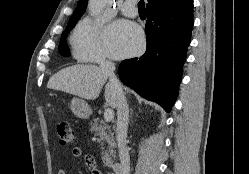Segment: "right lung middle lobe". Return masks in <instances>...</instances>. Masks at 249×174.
<instances>
[{
    "instance_id": "dd1d6c3e",
    "label": "right lung middle lobe",
    "mask_w": 249,
    "mask_h": 174,
    "mask_svg": "<svg viewBox=\"0 0 249 174\" xmlns=\"http://www.w3.org/2000/svg\"><path fill=\"white\" fill-rule=\"evenodd\" d=\"M76 23L77 21L68 23V26L66 27V30L63 32L61 40H60L59 52L61 55L65 57H68L70 55L69 48L66 43L67 33H69V31L75 26Z\"/></svg>"
}]
</instances>
